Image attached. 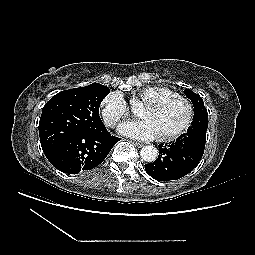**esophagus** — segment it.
Returning a JSON list of instances; mask_svg holds the SVG:
<instances>
[{
	"instance_id": "obj_1",
	"label": "esophagus",
	"mask_w": 255,
	"mask_h": 255,
	"mask_svg": "<svg viewBox=\"0 0 255 255\" xmlns=\"http://www.w3.org/2000/svg\"><path fill=\"white\" fill-rule=\"evenodd\" d=\"M132 143L137 146V147H142L143 146V143H140V142H137V141H132Z\"/></svg>"
}]
</instances>
